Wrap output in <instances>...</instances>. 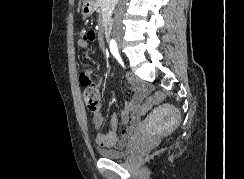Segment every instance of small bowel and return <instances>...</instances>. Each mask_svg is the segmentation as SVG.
<instances>
[{
    "label": "small bowel",
    "instance_id": "small-bowel-1",
    "mask_svg": "<svg viewBox=\"0 0 244 179\" xmlns=\"http://www.w3.org/2000/svg\"><path fill=\"white\" fill-rule=\"evenodd\" d=\"M95 38L96 34L94 31L84 30L78 36L77 45L81 49H86L89 43L94 41ZM96 69V65H92L83 70L80 74V82L83 85L94 84L91 77ZM103 82L104 78L102 77L95 84L101 85ZM139 90V92L132 96L122 110L121 121L126 124V127L119 130L120 120L117 116H113L110 121V130L108 132L97 133L95 141L98 145L102 147H121L126 143L127 138L140 123V110H144L143 106H140L142 90H144V88L139 87ZM93 123L96 129H101L105 123L104 116L100 112L94 113Z\"/></svg>",
    "mask_w": 244,
    "mask_h": 179
}]
</instances>
